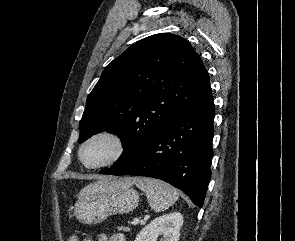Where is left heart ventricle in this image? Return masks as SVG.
Here are the masks:
<instances>
[{"label": "left heart ventricle", "instance_id": "b2bd125f", "mask_svg": "<svg viewBox=\"0 0 295 241\" xmlns=\"http://www.w3.org/2000/svg\"><path fill=\"white\" fill-rule=\"evenodd\" d=\"M116 151L115 143L108 138H97L90 142L83 152V159L93 165L111 158Z\"/></svg>", "mask_w": 295, "mask_h": 241}]
</instances>
